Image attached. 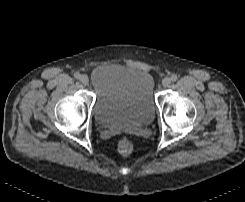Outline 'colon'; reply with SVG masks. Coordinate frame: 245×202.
I'll list each match as a JSON object with an SVG mask.
<instances>
[{
  "label": "colon",
  "instance_id": "obj_1",
  "mask_svg": "<svg viewBox=\"0 0 245 202\" xmlns=\"http://www.w3.org/2000/svg\"><path fill=\"white\" fill-rule=\"evenodd\" d=\"M118 152L123 157H129L134 152V145L131 140L123 138L118 143Z\"/></svg>",
  "mask_w": 245,
  "mask_h": 202
}]
</instances>
